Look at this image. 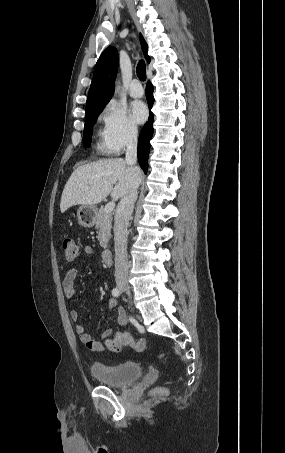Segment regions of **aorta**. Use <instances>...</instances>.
Returning a JSON list of instances; mask_svg holds the SVG:
<instances>
[{"instance_id":"1","label":"aorta","mask_w":285,"mask_h":453,"mask_svg":"<svg viewBox=\"0 0 285 453\" xmlns=\"http://www.w3.org/2000/svg\"><path fill=\"white\" fill-rule=\"evenodd\" d=\"M119 88H120L119 86L116 87V89H119Z\"/></svg>"}]
</instances>
